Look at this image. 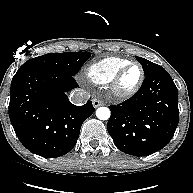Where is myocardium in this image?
Wrapping results in <instances>:
<instances>
[{
	"instance_id": "1",
	"label": "myocardium",
	"mask_w": 193,
	"mask_h": 193,
	"mask_svg": "<svg viewBox=\"0 0 193 193\" xmlns=\"http://www.w3.org/2000/svg\"><path fill=\"white\" fill-rule=\"evenodd\" d=\"M136 66L140 69V78L138 82L129 89H123L121 87V80L124 74L130 69L131 67ZM145 80V71L142 65L138 62H130L127 65L123 66L113 77V79L110 82V89L112 94L120 99H126L138 92V90L141 88L143 82Z\"/></svg>"
}]
</instances>
